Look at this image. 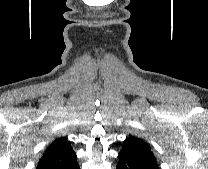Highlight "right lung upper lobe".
<instances>
[{
  "label": "right lung upper lobe",
  "instance_id": "right-lung-upper-lobe-1",
  "mask_svg": "<svg viewBox=\"0 0 208 169\" xmlns=\"http://www.w3.org/2000/svg\"><path fill=\"white\" fill-rule=\"evenodd\" d=\"M75 159L76 153L67 138H57L48 146L36 169H58Z\"/></svg>",
  "mask_w": 208,
  "mask_h": 169
}]
</instances>
